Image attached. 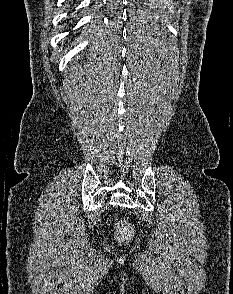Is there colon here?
<instances>
[{
	"label": "colon",
	"instance_id": "obj_1",
	"mask_svg": "<svg viewBox=\"0 0 233 294\" xmlns=\"http://www.w3.org/2000/svg\"><path fill=\"white\" fill-rule=\"evenodd\" d=\"M132 235L131 226L125 221H118L116 226V238L121 243H126Z\"/></svg>",
	"mask_w": 233,
	"mask_h": 294
}]
</instances>
